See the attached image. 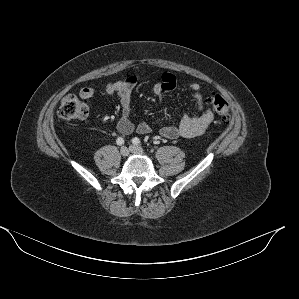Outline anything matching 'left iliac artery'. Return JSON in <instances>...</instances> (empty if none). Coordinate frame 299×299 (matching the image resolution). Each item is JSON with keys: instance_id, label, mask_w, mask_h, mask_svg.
Masks as SVG:
<instances>
[{"instance_id": "44dca946", "label": "left iliac artery", "mask_w": 299, "mask_h": 299, "mask_svg": "<svg viewBox=\"0 0 299 299\" xmlns=\"http://www.w3.org/2000/svg\"><path fill=\"white\" fill-rule=\"evenodd\" d=\"M132 143H133L134 145H138V144H140V139L137 138V137H135V138L132 139Z\"/></svg>"}]
</instances>
